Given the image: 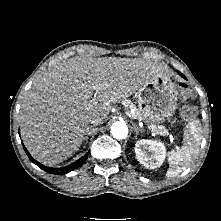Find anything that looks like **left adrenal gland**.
<instances>
[{"label":"left adrenal gland","instance_id":"1","mask_svg":"<svg viewBox=\"0 0 221 221\" xmlns=\"http://www.w3.org/2000/svg\"><path fill=\"white\" fill-rule=\"evenodd\" d=\"M133 126H134V131H135V139H137V136L141 130L135 124H133Z\"/></svg>","mask_w":221,"mask_h":221}]
</instances>
